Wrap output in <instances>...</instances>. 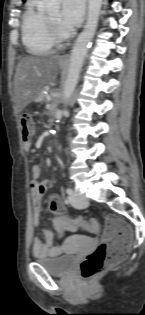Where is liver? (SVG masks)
Returning a JSON list of instances; mask_svg holds the SVG:
<instances>
[{
  "label": "liver",
  "mask_w": 145,
  "mask_h": 315,
  "mask_svg": "<svg viewBox=\"0 0 145 315\" xmlns=\"http://www.w3.org/2000/svg\"><path fill=\"white\" fill-rule=\"evenodd\" d=\"M60 63L59 55L25 56L18 62L14 77L15 113L35 101L43 87L56 80Z\"/></svg>",
  "instance_id": "6515ba94"
}]
</instances>
